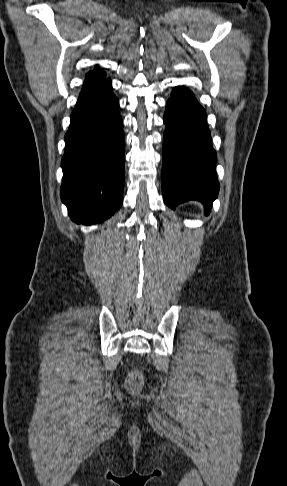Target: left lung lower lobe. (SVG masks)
Here are the masks:
<instances>
[{
    "label": "left lung lower lobe",
    "mask_w": 287,
    "mask_h": 486,
    "mask_svg": "<svg viewBox=\"0 0 287 486\" xmlns=\"http://www.w3.org/2000/svg\"><path fill=\"white\" fill-rule=\"evenodd\" d=\"M162 191L166 205L198 200L210 210L219 183L207 115L192 91L175 87L166 103Z\"/></svg>",
    "instance_id": "obj_1"
}]
</instances>
